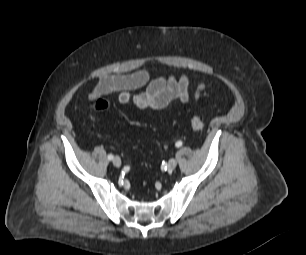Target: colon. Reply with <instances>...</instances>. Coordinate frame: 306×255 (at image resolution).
<instances>
[{
    "label": "colon",
    "mask_w": 306,
    "mask_h": 255,
    "mask_svg": "<svg viewBox=\"0 0 306 255\" xmlns=\"http://www.w3.org/2000/svg\"><path fill=\"white\" fill-rule=\"evenodd\" d=\"M112 102L109 99L98 98L95 100L92 106V110L94 114L101 113L107 110L111 106ZM191 126L195 131H201L204 128V122L202 118L198 115H193L191 117Z\"/></svg>",
    "instance_id": "colon-1"
}]
</instances>
